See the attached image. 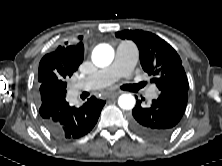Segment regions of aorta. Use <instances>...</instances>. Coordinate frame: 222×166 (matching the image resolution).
Instances as JSON below:
<instances>
[{
  "label": "aorta",
  "instance_id": "762f6f07",
  "mask_svg": "<svg viewBox=\"0 0 222 166\" xmlns=\"http://www.w3.org/2000/svg\"><path fill=\"white\" fill-rule=\"evenodd\" d=\"M114 50L108 44H99L92 52V61L98 67H105L112 63ZM136 103L135 97L131 94H122L118 99V105L124 110H131Z\"/></svg>",
  "mask_w": 222,
  "mask_h": 166
}]
</instances>
